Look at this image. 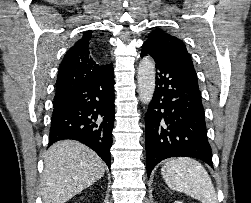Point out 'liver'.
<instances>
[{
    "label": "liver",
    "mask_w": 251,
    "mask_h": 203,
    "mask_svg": "<svg viewBox=\"0 0 251 203\" xmlns=\"http://www.w3.org/2000/svg\"><path fill=\"white\" fill-rule=\"evenodd\" d=\"M41 196L43 203H65L105 173L101 158L77 141L53 144L45 156Z\"/></svg>",
    "instance_id": "liver-1"
}]
</instances>
